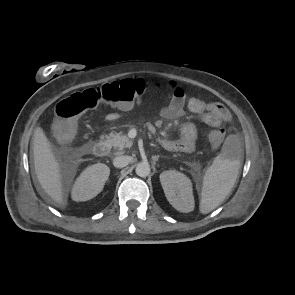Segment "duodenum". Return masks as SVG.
Returning a JSON list of instances; mask_svg holds the SVG:
<instances>
[{"instance_id":"duodenum-1","label":"duodenum","mask_w":295,"mask_h":295,"mask_svg":"<svg viewBox=\"0 0 295 295\" xmlns=\"http://www.w3.org/2000/svg\"><path fill=\"white\" fill-rule=\"evenodd\" d=\"M83 150L86 153H92L95 156L103 157V156L107 155V153L109 151V147H108L107 143H105V142L96 141V142H91V143L85 144L83 146Z\"/></svg>"}]
</instances>
